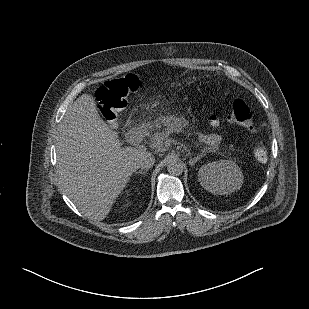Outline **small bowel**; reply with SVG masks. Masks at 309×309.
Listing matches in <instances>:
<instances>
[{
    "label": "small bowel",
    "mask_w": 309,
    "mask_h": 309,
    "mask_svg": "<svg viewBox=\"0 0 309 309\" xmlns=\"http://www.w3.org/2000/svg\"><path fill=\"white\" fill-rule=\"evenodd\" d=\"M200 139L208 145H217L221 141V136L216 133L203 134Z\"/></svg>",
    "instance_id": "1"
}]
</instances>
